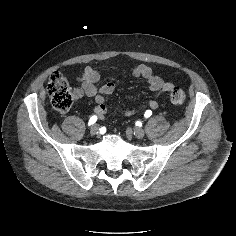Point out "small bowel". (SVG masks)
Instances as JSON below:
<instances>
[{
	"mask_svg": "<svg viewBox=\"0 0 236 236\" xmlns=\"http://www.w3.org/2000/svg\"><path fill=\"white\" fill-rule=\"evenodd\" d=\"M132 74L136 78L143 79L147 82L148 89L152 93L170 92L174 86L172 83L164 81L161 77L155 75L152 69L145 65L139 64L132 70ZM101 75L98 70L92 67H86L82 75L77 78L80 87L74 90L73 97L75 100H79L84 96L94 98L97 106L95 113L99 118H103L106 113L105 100L106 97L112 94L115 89L113 82H107L99 90L97 89V83L100 81ZM145 106L149 109L155 110L159 104L155 100H150L145 103ZM139 110H128L124 112L125 117L136 114Z\"/></svg>",
	"mask_w": 236,
	"mask_h": 236,
	"instance_id": "1",
	"label": "small bowel"
}]
</instances>
